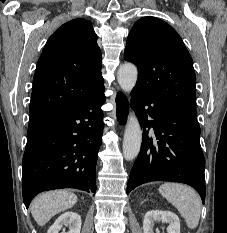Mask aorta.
<instances>
[{"instance_id":"obj_1","label":"aorta","mask_w":227,"mask_h":233,"mask_svg":"<svg viewBox=\"0 0 227 233\" xmlns=\"http://www.w3.org/2000/svg\"><path fill=\"white\" fill-rule=\"evenodd\" d=\"M138 77L137 67L131 63H125L119 67L117 80L125 93H130L134 88ZM142 142V131L139 121L133 111L129 112L123 138V155L128 161L133 160L139 154Z\"/></svg>"}]
</instances>
